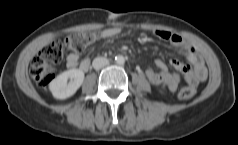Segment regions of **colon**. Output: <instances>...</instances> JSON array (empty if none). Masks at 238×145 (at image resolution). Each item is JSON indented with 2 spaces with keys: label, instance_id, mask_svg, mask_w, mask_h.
I'll return each mask as SVG.
<instances>
[{
  "label": "colon",
  "instance_id": "1",
  "mask_svg": "<svg viewBox=\"0 0 238 145\" xmlns=\"http://www.w3.org/2000/svg\"><path fill=\"white\" fill-rule=\"evenodd\" d=\"M96 34L91 31L73 33L63 39H57L44 46L34 57L30 65V74L37 85L46 87L54 78L55 66L62 60L64 50L83 51L96 40ZM195 89L184 87L178 97L187 100L195 95Z\"/></svg>",
  "mask_w": 238,
  "mask_h": 145
}]
</instances>
